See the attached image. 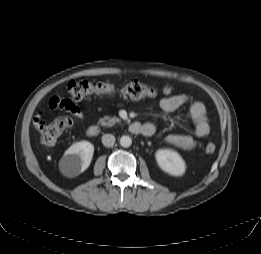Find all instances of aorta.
Instances as JSON below:
<instances>
[{"instance_id":"762f6f07","label":"aorta","mask_w":261,"mask_h":254,"mask_svg":"<svg viewBox=\"0 0 261 254\" xmlns=\"http://www.w3.org/2000/svg\"><path fill=\"white\" fill-rule=\"evenodd\" d=\"M131 144H132V139L129 136H122L120 138V145L122 147H125V148L130 147Z\"/></svg>"}]
</instances>
